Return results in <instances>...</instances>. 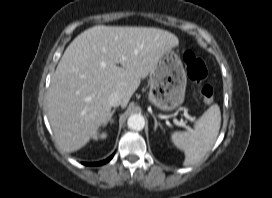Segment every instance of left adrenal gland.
Returning a JSON list of instances; mask_svg holds the SVG:
<instances>
[{
    "label": "left adrenal gland",
    "instance_id": "1",
    "mask_svg": "<svg viewBox=\"0 0 272 198\" xmlns=\"http://www.w3.org/2000/svg\"><path fill=\"white\" fill-rule=\"evenodd\" d=\"M153 119H154V131L157 130V127L159 126L162 129V125L157 121L155 115H152Z\"/></svg>",
    "mask_w": 272,
    "mask_h": 198
}]
</instances>
